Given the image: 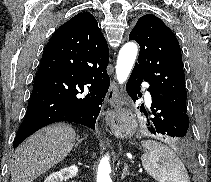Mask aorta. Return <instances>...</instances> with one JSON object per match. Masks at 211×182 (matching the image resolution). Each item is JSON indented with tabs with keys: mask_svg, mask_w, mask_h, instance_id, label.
<instances>
[{
	"mask_svg": "<svg viewBox=\"0 0 211 182\" xmlns=\"http://www.w3.org/2000/svg\"><path fill=\"white\" fill-rule=\"evenodd\" d=\"M137 52L138 46L134 42L126 43L120 49L116 64V78L119 84L127 81L135 63ZM110 172L109 156L105 155L98 165L97 182H112Z\"/></svg>",
	"mask_w": 211,
	"mask_h": 182,
	"instance_id": "762f6f07",
	"label": "aorta"
}]
</instances>
